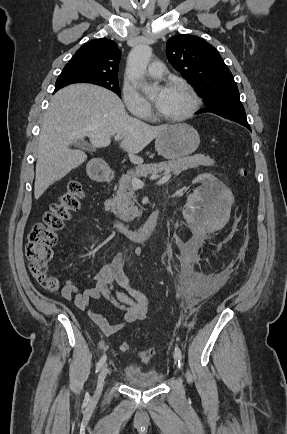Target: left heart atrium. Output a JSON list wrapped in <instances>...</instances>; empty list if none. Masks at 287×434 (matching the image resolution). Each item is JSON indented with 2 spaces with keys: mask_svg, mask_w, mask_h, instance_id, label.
Segmentation results:
<instances>
[{
  "mask_svg": "<svg viewBox=\"0 0 287 434\" xmlns=\"http://www.w3.org/2000/svg\"><path fill=\"white\" fill-rule=\"evenodd\" d=\"M167 93H168V88H161L158 90V92L156 93V95L154 97L157 108L162 105L163 101L165 100V98L167 96Z\"/></svg>",
  "mask_w": 287,
  "mask_h": 434,
  "instance_id": "39dd6f15",
  "label": "left heart atrium"
}]
</instances>
